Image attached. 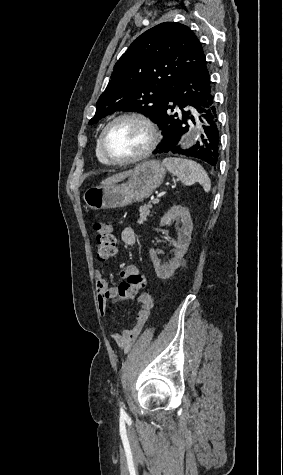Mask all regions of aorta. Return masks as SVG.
Segmentation results:
<instances>
[{
    "instance_id": "aorta-1",
    "label": "aorta",
    "mask_w": 283,
    "mask_h": 475,
    "mask_svg": "<svg viewBox=\"0 0 283 475\" xmlns=\"http://www.w3.org/2000/svg\"><path fill=\"white\" fill-rule=\"evenodd\" d=\"M201 129L200 127L198 126L196 130L193 131V134H192V137L193 138H183L181 141H180V145L182 147H189L191 146L192 144H194V138L195 137H199V133H200Z\"/></svg>"
}]
</instances>
